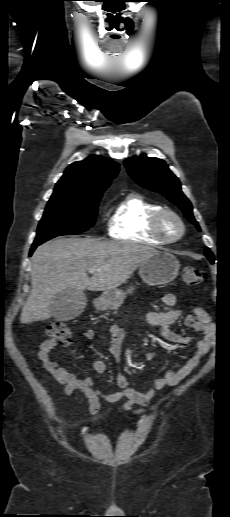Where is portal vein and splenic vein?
<instances>
[{
	"label": "portal vein and splenic vein",
	"mask_w": 230,
	"mask_h": 517,
	"mask_svg": "<svg viewBox=\"0 0 230 517\" xmlns=\"http://www.w3.org/2000/svg\"><path fill=\"white\" fill-rule=\"evenodd\" d=\"M97 270H98L97 268H95V267H91V268H89V269H88V272H89L90 274H93V273H95Z\"/></svg>",
	"instance_id": "obj_1"
}]
</instances>
